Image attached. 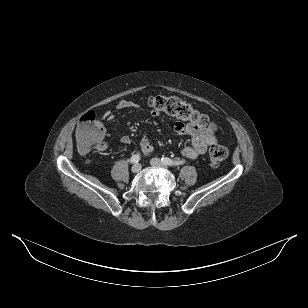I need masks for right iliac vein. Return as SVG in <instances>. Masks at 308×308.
<instances>
[{"mask_svg":"<svg viewBox=\"0 0 308 308\" xmlns=\"http://www.w3.org/2000/svg\"><path fill=\"white\" fill-rule=\"evenodd\" d=\"M141 170V165L140 164H134L131 168V171L133 173H138Z\"/></svg>","mask_w":308,"mask_h":308,"instance_id":"right-iliac-vein-1","label":"right iliac vein"}]
</instances>
